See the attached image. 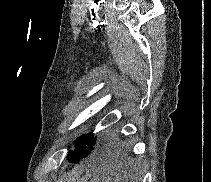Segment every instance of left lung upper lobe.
<instances>
[{
    "instance_id": "obj_1",
    "label": "left lung upper lobe",
    "mask_w": 211,
    "mask_h": 182,
    "mask_svg": "<svg viewBox=\"0 0 211 182\" xmlns=\"http://www.w3.org/2000/svg\"><path fill=\"white\" fill-rule=\"evenodd\" d=\"M96 139L93 138V134L83 135L80 137L76 144L74 152L70 151L68 154L69 162L77 163L80 159L83 158V155H88L89 152L92 150V146L95 144ZM86 145L88 148H86Z\"/></svg>"
}]
</instances>
